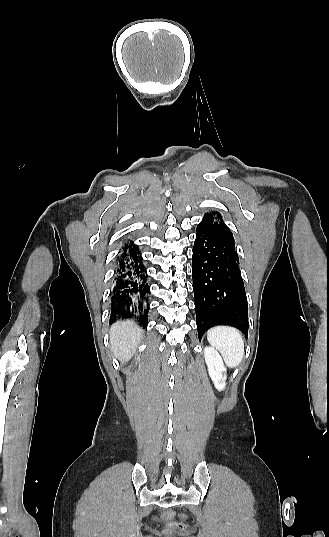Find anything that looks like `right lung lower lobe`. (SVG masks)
Returning a JSON list of instances; mask_svg holds the SVG:
<instances>
[{
  "instance_id": "1",
  "label": "right lung lower lobe",
  "mask_w": 329,
  "mask_h": 537,
  "mask_svg": "<svg viewBox=\"0 0 329 537\" xmlns=\"http://www.w3.org/2000/svg\"><path fill=\"white\" fill-rule=\"evenodd\" d=\"M148 275L139 250L130 244L121 250L111 293L110 320L117 318L145 319L148 310Z\"/></svg>"
}]
</instances>
